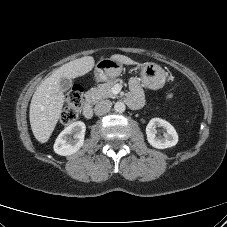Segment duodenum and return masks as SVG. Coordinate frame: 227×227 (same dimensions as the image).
Listing matches in <instances>:
<instances>
[{
	"label": "duodenum",
	"instance_id": "1",
	"mask_svg": "<svg viewBox=\"0 0 227 227\" xmlns=\"http://www.w3.org/2000/svg\"><path fill=\"white\" fill-rule=\"evenodd\" d=\"M83 115L85 118L90 119L93 116V109L90 102L86 101L83 106Z\"/></svg>",
	"mask_w": 227,
	"mask_h": 227
}]
</instances>
